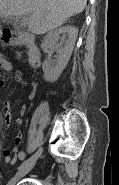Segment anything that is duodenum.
Returning a JSON list of instances; mask_svg holds the SVG:
<instances>
[{"label": "duodenum", "instance_id": "1", "mask_svg": "<svg viewBox=\"0 0 119 185\" xmlns=\"http://www.w3.org/2000/svg\"><path fill=\"white\" fill-rule=\"evenodd\" d=\"M4 41L10 45H24L28 51V63L36 69L41 64V52L32 35L15 30H5Z\"/></svg>", "mask_w": 119, "mask_h": 185}]
</instances>
